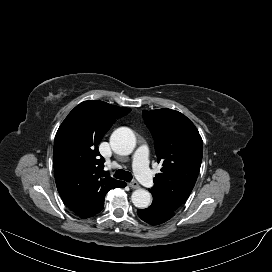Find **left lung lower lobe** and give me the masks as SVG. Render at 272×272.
I'll return each instance as SVG.
<instances>
[{"mask_svg":"<svg viewBox=\"0 0 272 272\" xmlns=\"http://www.w3.org/2000/svg\"><path fill=\"white\" fill-rule=\"evenodd\" d=\"M137 214L148 224L159 225L171 219L175 212L163 204L153 201L149 208L137 210Z\"/></svg>","mask_w":272,"mask_h":272,"instance_id":"1","label":"left lung lower lobe"}]
</instances>
